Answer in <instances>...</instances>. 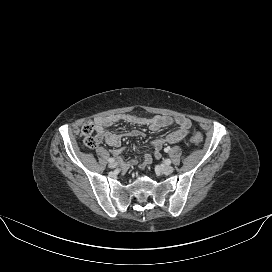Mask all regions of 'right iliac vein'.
<instances>
[{
	"label": "right iliac vein",
	"mask_w": 272,
	"mask_h": 272,
	"mask_svg": "<svg viewBox=\"0 0 272 272\" xmlns=\"http://www.w3.org/2000/svg\"><path fill=\"white\" fill-rule=\"evenodd\" d=\"M109 168H115L117 166V163L112 162L108 164Z\"/></svg>",
	"instance_id": "right-iliac-vein-1"
}]
</instances>
